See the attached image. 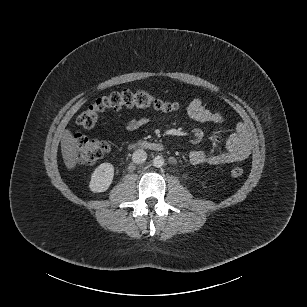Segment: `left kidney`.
Returning <instances> with one entry per match:
<instances>
[{
  "mask_svg": "<svg viewBox=\"0 0 307 307\" xmlns=\"http://www.w3.org/2000/svg\"><path fill=\"white\" fill-rule=\"evenodd\" d=\"M204 187H206L205 183H203Z\"/></svg>",
  "mask_w": 307,
  "mask_h": 307,
  "instance_id": "5707ae66",
  "label": "left kidney"
}]
</instances>
